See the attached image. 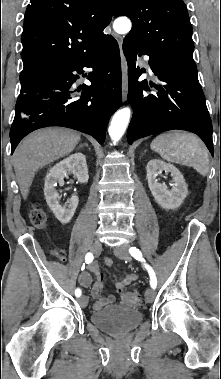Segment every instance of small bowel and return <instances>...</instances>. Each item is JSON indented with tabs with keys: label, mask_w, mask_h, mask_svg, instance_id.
I'll list each match as a JSON object with an SVG mask.
<instances>
[{
	"label": "small bowel",
	"mask_w": 221,
	"mask_h": 379,
	"mask_svg": "<svg viewBox=\"0 0 221 379\" xmlns=\"http://www.w3.org/2000/svg\"><path fill=\"white\" fill-rule=\"evenodd\" d=\"M105 264L107 266H112V260L106 259ZM88 271L82 272L79 276V282L84 287H89L92 283V274L95 276V283L91 289V296L95 300L93 303V308L95 310H100L104 306L114 302V296L112 294L103 295V282L104 274L99 270L96 263L89 264L87 266ZM137 276L135 274H125L119 278L115 283V289L117 292H123L124 288L135 281Z\"/></svg>",
	"instance_id": "small-bowel-1"
}]
</instances>
